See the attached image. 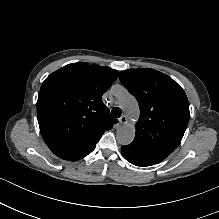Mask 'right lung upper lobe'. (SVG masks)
<instances>
[{
	"mask_svg": "<svg viewBox=\"0 0 219 219\" xmlns=\"http://www.w3.org/2000/svg\"><path fill=\"white\" fill-rule=\"evenodd\" d=\"M117 76L118 71L109 67L78 62L45 79L37 101L38 123L55 155L62 159L88 155L102 134L118 122L102 102Z\"/></svg>",
	"mask_w": 219,
	"mask_h": 219,
	"instance_id": "right-lung-upper-lobe-1",
	"label": "right lung upper lobe"
}]
</instances>
